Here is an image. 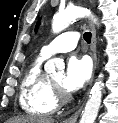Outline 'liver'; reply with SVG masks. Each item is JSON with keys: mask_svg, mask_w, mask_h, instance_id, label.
<instances>
[{"mask_svg": "<svg viewBox=\"0 0 118 123\" xmlns=\"http://www.w3.org/2000/svg\"><path fill=\"white\" fill-rule=\"evenodd\" d=\"M7 123H54V119L40 116H22L10 119Z\"/></svg>", "mask_w": 118, "mask_h": 123, "instance_id": "liver-1", "label": "liver"}]
</instances>
